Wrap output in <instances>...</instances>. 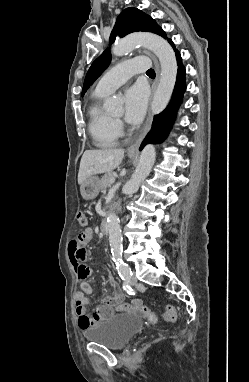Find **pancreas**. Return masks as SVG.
I'll use <instances>...</instances> for the list:
<instances>
[{
	"instance_id": "cf45deb5",
	"label": "pancreas",
	"mask_w": 249,
	"mask_h": 382,
	"mask_svg": "<svg viewBox=\"0 0 249 382\" xmlns=\"http://www.w3.org/2000/svg\"><path fill=\"white\" fill-rule=\"evenodd\" d=\"M114 178L113 172H107L101 179L99 186L101 190H105L107 187H110V180Z\"/></svg>"
}]
</instances>
